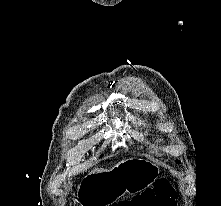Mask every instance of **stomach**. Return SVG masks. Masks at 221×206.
<instances>
[{"instance_id":"obj_1","label":"stomach","mask_w":221,"mask_h":206,"mask_svg":"<svg viewBox=\"0 0 221 206\" xmlns=\"http://www.w3.org/2000/svg\"><path fill=\"white\" fill-rule=\"evenodd\" d=\"M159 167L143 158L122 160L112 169L89 174L79 192L80 206H109L125 193H137L151 186Z\"/></svg>"}]
</instances>
